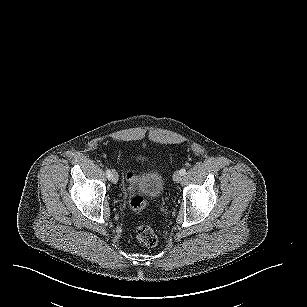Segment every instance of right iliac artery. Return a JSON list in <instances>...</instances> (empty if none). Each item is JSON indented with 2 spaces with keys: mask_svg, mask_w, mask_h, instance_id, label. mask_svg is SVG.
<instances>
[{
  "mask_svg": "<svg viewBox=\"0 0 307 307\" xmlns=\"http://www.w3.org/2000/svg\"><path fill=\"white\" fill-rule=\"evenodd\" d=\"M106 176L110 180L112 178L111 171L109 169L106 170Z\"/></svg>",
  "mask_w": 307,
  "mask_h": 307,
  "instance_id": "1",
  "label": "right iliac artery"
}]
</instances>
